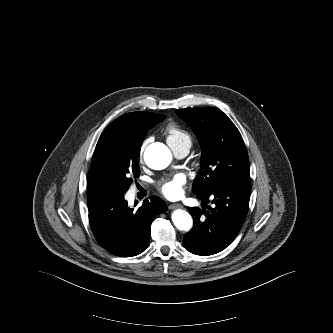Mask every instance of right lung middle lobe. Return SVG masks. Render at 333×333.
<instances>
[{
  "instance_id": "dd1d6c3e",
  "label": "right lung middle lobe",
  "mask_w": 333,
  "mask_h": 333,
  "mask_svg": "<svg viewBox=\"0 0 333 333\" xmlns=\"http://www.w3.org/2000/svg\"><path fill=\"white\" fill-rule=\"evenodd\" d=\"M146 133L124 141H101L93 165L106 193H125L132 183L130 177L139 176V154Z\"/></svg>"
}]
</instances>
